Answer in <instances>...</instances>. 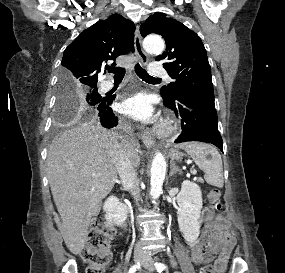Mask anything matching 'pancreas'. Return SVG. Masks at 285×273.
<instances>
[{"label":"pancreas","instance_id":"1","mask_svg":"<svg viewBox=\"0 0 285 273\" xmlns=\"http://www.w3.org/2000/svg\"><path fill=\"white\" fill-rule=\"evenodd\" d=\"M198 182H202V180H201V179H198Z\"/></svg>","mask_w":285,"mask_h":273}]
</instances>
